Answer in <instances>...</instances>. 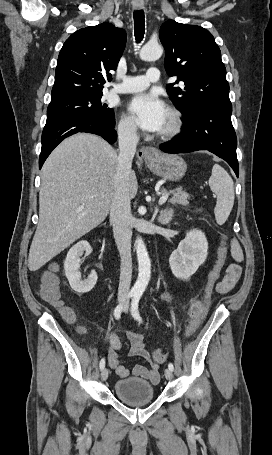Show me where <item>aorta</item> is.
I'll use <instances>...</instances> for the list:
<instances>
[{"instance_id": "762f6f07", "label": "aorta", "mask_w": 272, "mask_h": 455, "mask_svg": "<svg viewBox=\"0 0 272 455\" xmlns=\"http://www.w3.org/2000/svg\"><path fill=\"white\" fill-rule=\"evenodd\" d=\"M163 54V48L158 43H147L140 51V58L144 61H154ZM136 253L138 260V278L133 286V291L142 294L150 280L151 262L143 240H136Z\"/></svg>"}]
</instances>
